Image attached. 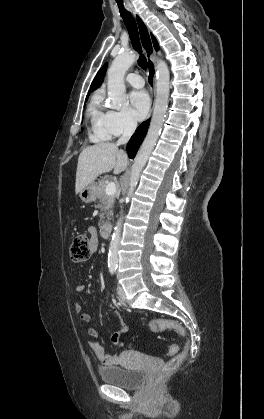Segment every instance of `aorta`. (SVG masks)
Segmentation results:
<instances>
[{
	"mask_svg": "<svg viewBox=\"0 0 264 419\" xmlns=\"http://www.w3.org/2000/svg\"><path fill=\"white\" fill-rule=\"evenodd\" d=\"M136 60V54L123 53L118 55L112 62L108 70V95L110 106L114 109H120L127 103L126 88L124 76L126 71ZM156 100L152 120L148 129L147 136L138 151L131 168L129 190L126 196V202L129 201L132 193L137 186L141 171L143 170L156 142L160 135L164 122L169 97L170 74L167 64L159 60L156 67ZM123 216L117 221L112 234L108 253V266L117 267L118 244L121 235Z\"/></svg>",
	"mask_w": 264,
	"mask_h": 419,
	"instance_id": "1",
	"label": "aorta"
}]
</instances>
